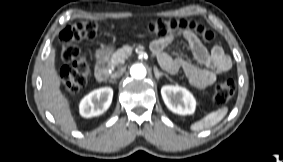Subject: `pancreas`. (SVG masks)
<instances>
[{
    "mask_svg": "<svg viewBox=\"0 0 283 162\" xmlns=\"http://www.w3.org/2000/svg\"><path fill=\"white\" fill-rule=\"evenodd\" d=\"M133 51V47L125 45L122 48L118 49L115 53H113L110 63L112 67L118 66L119 64H123L126 59L131 55Z\"/></svg>",
    "mask_w": 283,
    "mask_h": 162,
    "instance_id": "cf45deb5",
    "label": "pancreas"
}]
</instances>
